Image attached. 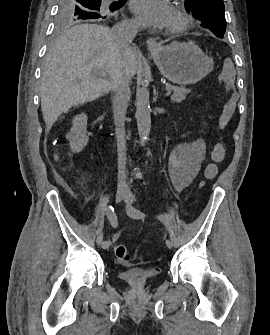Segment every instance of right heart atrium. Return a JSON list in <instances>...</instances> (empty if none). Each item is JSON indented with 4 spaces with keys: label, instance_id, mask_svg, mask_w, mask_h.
I'll return each instance as SVG.
<instances>
[{
    "label": "right heart atrium",
    "instance_id": "1",
    "mask_svg": "<svg viewBox=\"0 0 270 335\" xmlns=\"http://www.w3.org/2000/svg\"><path fill=\"white\" fill-rule=\"evenodd\" d=\"M118 25H137V22L134 19H126Z\"/></svg>",
    "mask_w": 270,
    "mask_h": 335
}]
</instances>
